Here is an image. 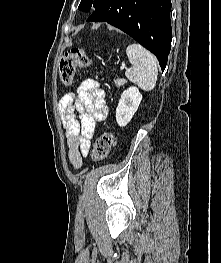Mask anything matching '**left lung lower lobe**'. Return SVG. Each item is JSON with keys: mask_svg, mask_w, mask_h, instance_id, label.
<instances>
[{"mask_svg": "<svg viewBox=\"0 0 221 263\" xmlns=\"http://www.w3.org/2000/svg\"><path fill=\"white\" fill-rule=\"evenodd\" d=\"M170 0H104L87 21L107 22L130 35L167 64L171 47Z\"/></svg>", "mask_w": 221, "mask_h": 263, "instance_id": "obj_1", "label": "left lung lower lobe"}]
</instances>
